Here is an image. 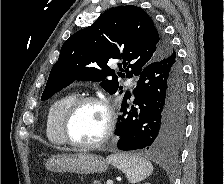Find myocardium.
Returning <instances> with one entry per match:
<instances>
[{"instance_id": "myocardium-1", "label": "myocardium", "mask_w": 224, "mask_h": 184, "mask_svg": "<svg viewBox=\"0 0 224 184\" xmlns=\"http://www.w3.org/2000/svg\"><path fill=\"white\" fill-rule=\"evenodd\" d=\"M86 103H95L100 105L105 110L107 116L104 134L99 140L92 143L77 142L72 138L70 133V125L75 113L83 104ZM115 124H116V114L113 106L110 104L107 98L94 95H83L76 97L63 113L61 119L60 131L65 143L78 149L89 150L104 145L113 135L115 130Z\"/></svg>"}]
</instances>
